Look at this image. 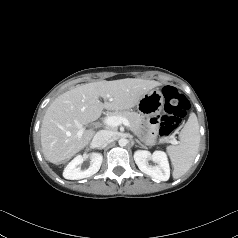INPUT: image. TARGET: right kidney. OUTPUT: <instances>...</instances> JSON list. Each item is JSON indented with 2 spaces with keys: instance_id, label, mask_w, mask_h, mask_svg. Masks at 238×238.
<instances>
[{
  "instance_id": "obj_1",
  "label": "right kidney",
  "mask_w": 238,
  "mask_h": 238,
  "mask_svg": "<svg viewBox=\"0 0 238 238\" xmlns=\"http://www.w3.org/2000/svg\"><path fill=\"white\" fill-rule=\"evenodd\" d=\"M91 165L87 170L82 171L79 165L84 161L81 155H77L64 169L63 176L70 180H79L90 177L97 173L102 164L103 156L100 153L92 152L89 154Z\"/></svg>"
}]
</instances>
